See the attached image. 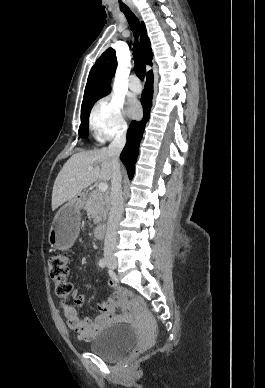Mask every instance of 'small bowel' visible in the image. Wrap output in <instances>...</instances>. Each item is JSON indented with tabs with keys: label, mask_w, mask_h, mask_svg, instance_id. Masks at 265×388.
<instances>
[{
	"label": "small bowel",
	"mask_w": 265,
	"mask_h": 388,
	"mask_svg": "<svg viewBox=\"0 0 265 388\" xmlns=\"http://www.w3.org/2000/svg\"><path fill=\"white\" fill-rule=\"evenodd\" d=\"M109 287L114 291L113 299L110 302L98 303L97 309L99 315L94 321L88 318H80L75 307L68 303L62 305L65 322L60 321V330H71L78 335V338L83 341H90L96 334L101 331L106 325L123 320V316L116 313V309L127 304L128 299L125 291L120 288L114 280H110ZM73 299L76 305H80L83 300V294L74 289Z\"/></svg>",
	"instance_id": "1"
}]
</instances>
